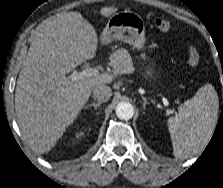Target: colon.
Masks as SVG:
<instances>
[{"mask_svg":"<svg viewBox=\"0 0 223 188\" xmlns=\"http://www.w3.org/2000/svg\"><path fill=\"white\" fill-rule=\"evenodd\" d=\"M154 25L161 32H170L172 30V23L163 18H156L154 20ZM188 65L191 67H196L200 63V55L195 48H191L188 55Z\"/></svg>","mask_w":223,"mask_h":188,"instance_id":"5ec220e1","label":"colon"}]
</instances>
